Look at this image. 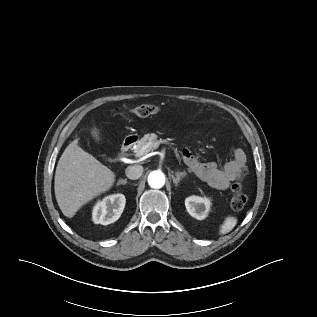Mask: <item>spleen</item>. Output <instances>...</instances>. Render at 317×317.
Returning <instances> with one entry per match:
<instances>
[{
  "mask_svg": "<svg viewBox=\"0 0 317 317\" xmlns=\"http://www.w3.org/2000/svg\"><path fill=\"white\" fill-rule=\"evenodd\" d=\"M237 224V218L234 216H227L220 225L219 234L225 235L233 230Z\"/></svg>",
  "mask_w": 317,
  "mask_h": 317,
  "instance_id": "3e777b00",
  "label": "spleen"
}]
</instances>
